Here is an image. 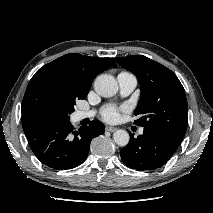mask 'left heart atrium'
Returning <instances> with one entry per match:
<instances>
[{"mask_svg": "<svg viewBox=\"0 0 213 213\" xmlns=\"http://www.w3.org/2000/svg\"><path fill=\"white\" fill-rule=\"evenodd\" d=\"M103 118L108 122H114L118 119L119 110L116 108H107L103 111Z\"/></svg>", "mask_w": 213, "mask_h": 213, "instance_id": "obj_1", "label": "left heart atrium"}]
</instances>
